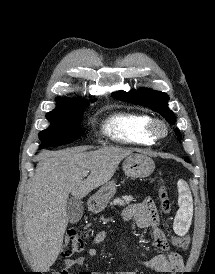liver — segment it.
I'll return each instance as SVG.
<instances>
[{"label": "liver", "instance_id": "liver-1", "mask_svg": "<svg viewBox=\"0 0 215 274\" xmlns=\"http://www.w3.org/2000/svg\"><path fill=\"white\" fill-rule=\"evenodd\" d=\"M130 153L111 146L91 152L73 148L41 156L22 211L25 242L37 270L47 272L60 253L69 220V193L82 199L108 183L119 163ZM84 171L90 172L85 180Z\"/></svg>", "mask_w": 215, "mask_h": 274}]
</instances>
